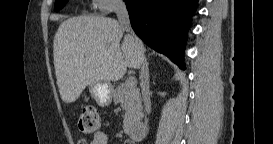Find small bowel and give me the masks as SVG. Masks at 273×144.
I'll use <instances>...</instances> for the list:
<instances>
[{"label": "small bowel", "instance_id": "obj_1", "mask_svg": "<svg viewBox=\"0 0 273 144\" xmlns=\"http://www.w3.org/2000/svg\"><path fill=\"white\" fill-rule=\"evenodd\" d=\"M109 139L108 136L104 132H97L93 136V140L90 144H108ZM78 144H88L86 139H80Z\"/></svg>", "mask_w": 273, "mask_h": 144}]
</instances>
